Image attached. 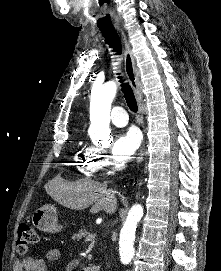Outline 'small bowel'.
<instances>
[{
  "label": "small bowel",
  "mask_w": 221,
  "mask_h": 271,
  "mask_svg": "<svg viewBox=\"0 0 221 271\" xmlns=\"http://www.w3.org/2000/svg\"><path fill=\"white\" fill-rule=\"evenodd\" d=\"M60 258V251L56 248L48 250L44 258L26 257L17 259L14 263V271H51V265ZM72 266L68 265L65 271H71Z\"/></svg>",
  "instance_id": "1"
}]
</instances>
